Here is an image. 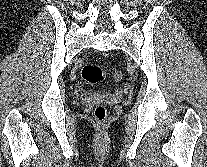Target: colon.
Here are the masks:
<instances>
[{"label":"colon","instance_id":"1","mask_svg":"<svg viewBox=\"0 0 207 167\" xmlns=\"http://www.w3.org/2000/svg\"><path fill=\"white\" fill-rule=\"evenodd\" d=\"M81 75L86 82L95 85L101 83L105 79L108 75V70L98 65L87 64L82 68ZM121 77V73H116V80L121 79ZM94 117L98 122H104L107 118L106 107L102 104L97 105L94 109Z\"/></svg>","mask_w":207,"mask_h":167}]
</instances>
